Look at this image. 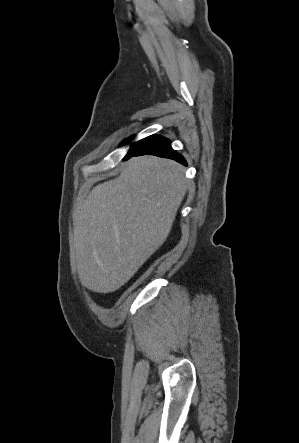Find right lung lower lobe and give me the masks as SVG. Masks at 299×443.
Instances as JSON below:
<instances>
[{"label":"right lung lower lobe","mask_w":299,"mask_h":443,"mask_svg":"<svg viewBox=\"0 0 299 443\" xmlns=\"http://www.w3.org/2000/svg\"><path fill=\"white\" fill-rule=\"evenodd\" d=\"M146 154L170 158L186 164L184 158L171 148L169 140L158 135H151L134 143L124 160L132 156H142Z\"/></svg>","instance_id":"98d812e1"}]
</instances>
